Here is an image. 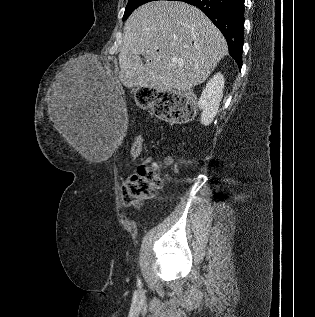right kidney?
<instances>
[{"instance_id": "ca27d5eb", "label": "right kidney", "mask_w": 315, "mask_h": 317, "mask_svg": "<svg viewBox=\"0 0 315 317\" xmlns=\"http://www.w3.org/2000/svg\"><path fill=\"white\" fill-rule=\"evenodd\" d=\"M224 77L221 73L215 74L208 81L198 102L201 113V124L209 126L215 118L223 97Z\"/></svg>"}]
</instances>
